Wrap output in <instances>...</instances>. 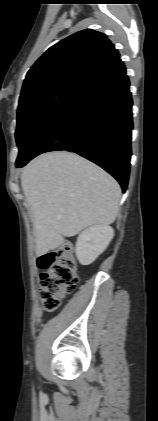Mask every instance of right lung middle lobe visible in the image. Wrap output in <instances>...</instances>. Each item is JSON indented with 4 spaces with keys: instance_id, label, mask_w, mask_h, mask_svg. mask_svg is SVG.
Masks as SVG:
<instances>
[{
    "instance_id": "right-lung-middle-lobe-1",
    "label": "right lung middle lobe",
    "mask_w": 158,
    "mask_h": 421,
    "mask_svg": "<svg viewBox=\"0 0 158 421\" xmlns=\"http://www.w3.org/2000/svg\"><path fill=\"white\" fill-rule=\"evenodd\" d=\"M82 86L73 82L58 83L19 100L15 133L19 155L16 165L28 157L41 132Z\"/></svg>"
}]
</instances>
